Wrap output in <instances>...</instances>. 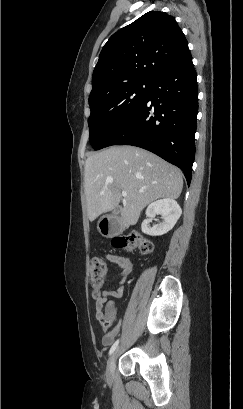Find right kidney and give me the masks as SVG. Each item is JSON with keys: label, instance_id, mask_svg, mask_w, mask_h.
<instances>
[{"label": "right kidney", "instance_id": "1", "mask_svg": "<svg viewBox=\"0 0 243 409\" xmlns=\"http://www.w3.org/2000/svg\"><path fill=\"white\" fill-rule=\"evenodd\" d=\"M162 215V222L149 228V219L155 217V215ZM182 214V210L179 204L173 199H162L151 203L147 210L145 219L141 224V230L143 233L150 236H161L169 232Z\"/></svg>", "mask_w": 243, "mask_h": 409}]
</instances>
